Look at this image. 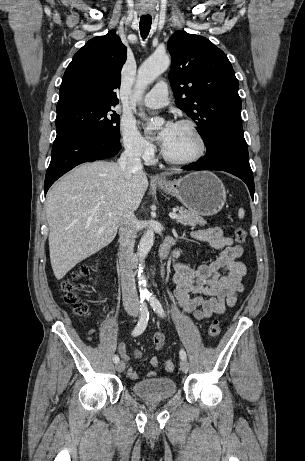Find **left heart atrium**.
I'll use <instances>...</instances> for the list:
<instances>
[{"instance_id":"obj_1","label":"left heart atrium","mask_w":305,"mask_h":461,"mask_svg":"<svg viewBox=\"0 0 305 461\" xmlns=\"http://www.w3.org/2000/svg\"><path fill=\"white\" fill-rule=\"evenodd\" d=\"M175 128H176V124L171 121H168L163 127V129L161 130L159 134V142L161 146L163 147V149L170 143L174 135Z\"/></svg>"}]
</instances>
